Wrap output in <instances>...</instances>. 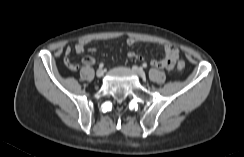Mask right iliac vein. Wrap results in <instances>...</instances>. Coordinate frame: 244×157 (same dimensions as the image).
Segmentation results:
<instances>
[{
    "mask_svg": "<svg viewBox=\"0 0 244 157\" xmlns=\"http://www.w3.org/2000/svg\"><path fill=\"white\" fill-rule=\"evenodd\" d=\"M103 74H104V70H103V69H98V70L96 71V76H97L98 78H101V77L103 76Z\"/></svg>",
    "mask_w": 244,
    "mask_h": 157,
    "instance_id": "right-iliac-vein-1",
    "label": "right iliac vein"
}]
</instances>
